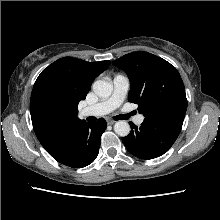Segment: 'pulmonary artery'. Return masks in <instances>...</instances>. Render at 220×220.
I'll return each instance as SVG.
<instances>
[{
  "instance_id": "1",
  "label": "pulmonary artery",
  "mask_w": 220,
  "mask_h": 220,
  "mask_svg": "<svg viewBox=\"0 0 220 220\" xmlns=\"http://www.w3.org/2000/svg\"><path fill=\"white\" fill-rule=\"evenodd\" d=\"M129 89V79L124 75H116L113 79L112 95L104 101L92 106H88L81 111V115L86 116H103L117 109L124 101ZM144 120L142 114L137 115L134 119L136 124H141Z\"/></svg>"
}]
</instances>
